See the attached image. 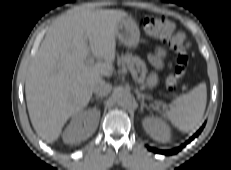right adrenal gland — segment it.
I'll return each mask as SVG.
<instances>
[{
    "instance_id": "obj_1",
    "label": "right adrenal gland",
    "mask_w": 231,
    "mask_h": 170,
    "mask_svg": "<svg viewBox=\"0 0 231 170\" xmlns=\"http://www.w3.org/2000/svg\"><path fill=\"white\" fill-rule=\"evenodd\" d=\"M94 100H98V101L100 100V101H102V100H103V97H98V96H97L95 99H94V98L92 99V102H93Z\"/></svg>"
}]
</instances>
